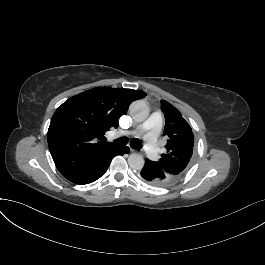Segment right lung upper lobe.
I'll return each mask as SVG.
<instances>
[{
  "mask_svg": "<svg viewBox=\"0 0 265 265\" xmlns=\"http://www.w3.org/2000/svg\"><path fill=\"white\" fill-rule=\"evenodd\" d=\"M140 90L97 87L65 101L54 113L48 129V146L61 174L75 184L95 179L121 149L98 141L135 100Z\"/></svg>",
  "mask_w": 265,
  "mask_h": 265,
  "instance_id": "obj_1",
  "label": "right lung upper lobe"
}]
</instances>
